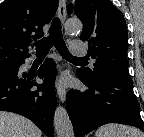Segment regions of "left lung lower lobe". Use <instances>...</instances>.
I'll return each mask as SVG.
<instances>
[{
    "mask_svg": "<svg viewBox=\"0 0 144 137\" xmlns=\"http://www.w3.org/2000/svg\"><path fill=\"white\" fill-rule=\"evenodd\" d=\"M85 91L71 90L67 93V111L75 137H84L95 128L107 123H120L140 128L144 123L140 106L133 93L132 81L108 74L85 79Z\"/></svg>",
    "mask_w": 144,
    "mask_h": 137,
    "instance_id": "1",
    "label": "left lung lower lobe"
}]
</instances>
